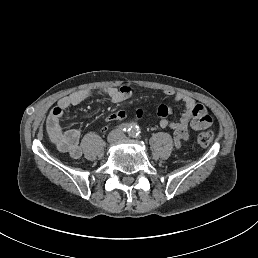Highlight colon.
<instances>
[{"label":"colon","mask_w":258,"mask_h":258,"mask_svg":"<svg viewBox=\"0 0 258 258\" xmlns=\"http://www.w3.org/2000/svg\"><path fill=\"white\" fill-rule=\"evenodd\" d=\"M214 139V133L211 130L203 131L198 134L197 136V142L202 147L209 146Z\"/></svg>","instance_id":"obj_1"}]
</instances>
